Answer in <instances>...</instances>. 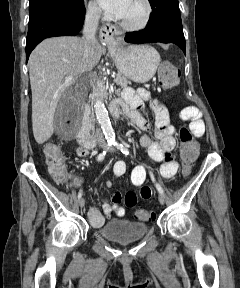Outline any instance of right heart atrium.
<instances>
[{
    "instance_id": "right-heart-atrium-1",
    "label": "right heart atrium",
    "mask_w": 240,
    "mask_h": 288,
    "mask_svg": "<svg viewBox=\"0 0 240 288\" xmlns=\"http://www.w3.org/2000/svg\"><path fill=\"white\" fill-rule=\"evenodd\" d=\"M87 13L93 19H97L101 16V10L94 1L87 3Z\"/></svg>"
}]
</instances>
